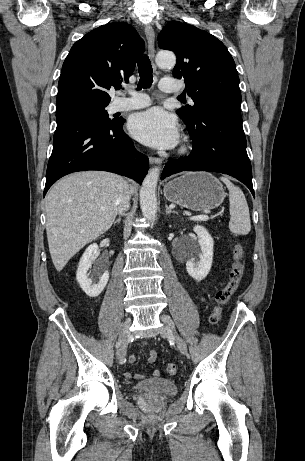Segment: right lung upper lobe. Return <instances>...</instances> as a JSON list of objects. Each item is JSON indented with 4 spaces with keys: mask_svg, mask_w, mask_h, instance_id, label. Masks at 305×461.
I'll return each instance as SVG.
<instances>
[{
    "mask_svg": "<svg viewBox=\"0 0 305 461\" xmlns=\"http://www.w3.org/2000/svg\"><path fill=\"white\" fill-rule=\"evenodd\" d=\"M143 50L142 38L126 23H109L87 33L72 46L63 63L57 108L109 104L108 90L128 82Z\"/></svg>",
    "mask_w": 305,
    "mask_h": 461,
    "instance_id": "cb5924a9",
    "label": "right lung upper lobe"
}]
</instances>
